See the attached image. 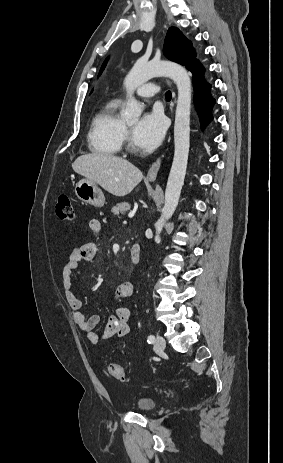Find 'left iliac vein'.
<instances>
[{"label":"left iliac vein","mask_w":283,"mask_h":463,"mask_svg":"<svg viewBox=\"0 0 283 463\" xmlns=\"http://www.w3.org/2000/svg\"><path fill=\"white\" fill-rule=\"evenodd\" d=\"M165 346H166L165 339L162 336L158 335L156 338L155 344H154L155 351L160 353L165 349Z\"/></svg>","instance_id":"4c4485c4"}]
</instances>
